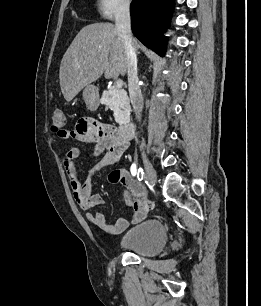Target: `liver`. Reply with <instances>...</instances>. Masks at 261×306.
I'll return each mask as SVG.
<instances>
[{"label": "liver", "instance_id": "1", "mask_svg": "<svg viewBox=\"0 0 261 306\" xmlns=\"http://www.w3.org/2000/svg\"><path fill=\"white\" fill-rule=\"evenodd\" d=\"M134 42L135 49L137 42ZM128 58L111 23L83 27L65 52L59 69L62 94L70 102L85 86L99 79L124 76Z\"/></svg>", "mask_w": 261, "mask_h": 306}]
</instances>
